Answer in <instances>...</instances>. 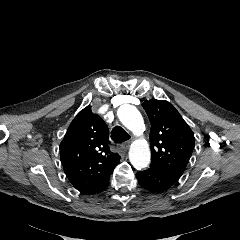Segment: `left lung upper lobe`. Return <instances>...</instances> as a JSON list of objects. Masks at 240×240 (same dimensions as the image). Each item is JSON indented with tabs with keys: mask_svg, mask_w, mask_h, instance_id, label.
I'll return each instance as SVG.
<instances>
[{
	"mask_svg": "<svg viewBox=\"0 0 240 240\" xmlns=\"http://www.w3.org/2000/svg\"><path fill=\"white\" fill-rule=\"evenodd\" d=\"M151 122V165L178 181L182 176L192 150L194 134L172 104L164 100L143 102Z\"/></svg>",
	"mask_w": 240,
	"mask_h": 240,
	"instance_id": "5c2ea615",
	"label": "left lung upper lobe"
}]
</instances>
